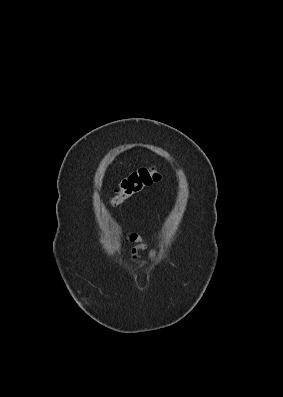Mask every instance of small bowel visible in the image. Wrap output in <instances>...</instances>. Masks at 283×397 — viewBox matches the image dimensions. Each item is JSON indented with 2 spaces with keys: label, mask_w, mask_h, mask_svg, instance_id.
I'll list each match as a JSON object with an SVG mask.
<instances>
[{
  "label": "small bowel",
  "mask_w": 283,
  "mask_h": 397,
  "mask_svg": "<svg viewBox=\"0 0 283 397\" xmlns=\"http://www.w3.org/2000/svg\"><path fill=\"white\" fill-rule=\"evenodd\" d=\"M124 240L133 244V247L130 250V259L135 265L144 267L145 261L142 258V253L145 251L148 252V259L150 261H154L156 259L157 250L155 248L149 249L146 240L138 232L126 233Z\"/></svg>",
  "instance_id": "1"
}]
</instances>
